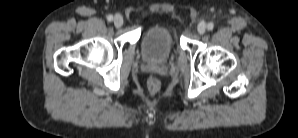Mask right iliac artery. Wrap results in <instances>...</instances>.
Instances as JSON below:
<instances>
[{"mask_svg": "<svg viewBox=\"0 0 298 138\" xmlns=\"http://www.w3.org/2000/svg\"><path fill=\"white\" fill-rule=\"evenodd\" d=\"M107 20H108V21H112V20H113V16H112V15H108V16H107Z\"/></svg>", "mask_w": 298, "mask_h": 138, "instance_id": "82829eb1", "label": "right iliac artery"}]
</instances>
